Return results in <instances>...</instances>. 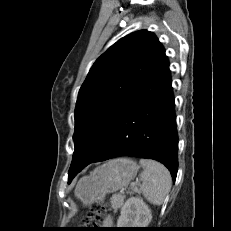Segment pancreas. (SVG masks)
Masks as SVG:
<instances>
[{
    "instance_id": "cf45deb5",
    "label": "pancreas",
    "mask_w": 231,
    "mask_h": 231,
    "mask_svg": "<svg viewBox=\"0 0 231 231\" xmlns=\"http://www.w3.org/2000/svg\"><path fill=\"white\" fill-rule=\"evenodd\" d=\"M124 199H125V195H122V194L113 195L112 198H111V206H112V208L114 210L119 209L123 205Z\"/></svg>"
}]
</instances>
